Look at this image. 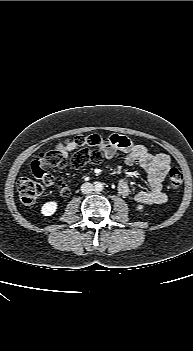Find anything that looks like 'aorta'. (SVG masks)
Here are the masks:
<instances>
[{"mask_svg":"<svg viewBox=\"0 0 193 351\" xmlns=\"http://www.w3.org/2000/svg\"><path fill=\"white\" fill-rule=\"evenodd\" d=\"M94 189L97 192L102 191L103 190V184L101 182H96L95 185H94Z\"/></svg>","mask_w":193,"mask_h":351,"instance_id":"aorta-1","label":"aorta"}]
</instances>
